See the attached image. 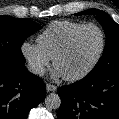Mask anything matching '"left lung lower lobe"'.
Segmentation results:
<instances>
[{"label": "left lung lower lobe", "instance_id": "0a47b994", "mask_svg": "<svg viewBox=\"0 0 119 119\" xmlns=\"http://www.w3.org/2000/svg\"><path fill=\"white\" fill-rule=\"evenodd\" d=\"M57 119H119V68L58 89Z\"/></svg>", "mask_w": 119, "mask_h": 119}]
</instances>
